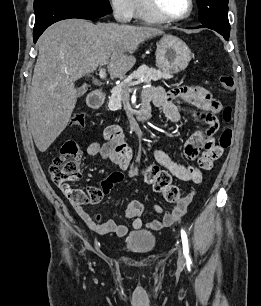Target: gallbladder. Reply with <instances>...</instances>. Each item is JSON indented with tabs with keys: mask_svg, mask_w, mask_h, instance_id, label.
I'll list each match as a JSON object with an SVG mask.
<instances>
[{
	"mask_svg": "<svg viewBox=\"0 0 261 306\" xmlns=\"http://www.w3.org/2000/svg\"><path fill=\"white\" fill-rule=\"evenodd\" d=\"M86 87H79L76 89V94H77V97H80L82 96L85 92H86Z\"/></svg>",
	"mask_w": 261,
	"mask_h": 306,
	"instance_id": "obj_1",
	"label": "gallbladder"
}]
</instances>
